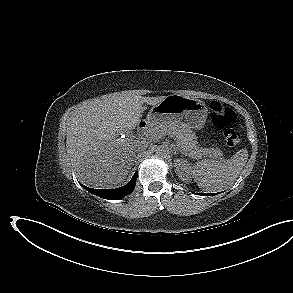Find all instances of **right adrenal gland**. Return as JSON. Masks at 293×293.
Wrapping results in <instances>:
<instances>
[{
  "label": "right adrenal gland",
  "mask_w": 293,
  "mask_h": 293,
  "mask_svg": "<svg viewBox=\"0 0 293 293\" xmlns=\"http://www.w3.org/2000/svg\"><path fill=\"white\" fill-rule=\"evenodd\" d=\"M134 155H135V154H134ZM133 157H135V156H133ZM133 161H134V160L132 159V163H131V164H133Z\"/></svg>",
  "instance_id": "1"
}]
</instances>
